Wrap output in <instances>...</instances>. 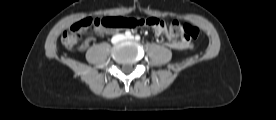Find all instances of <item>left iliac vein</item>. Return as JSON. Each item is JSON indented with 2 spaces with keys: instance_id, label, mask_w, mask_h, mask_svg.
<instances>
[{
  "instance_id": "obj_1",
  "label": "left iliac vein",
  "mask_w": 276,
  "mask_h": 120,
  "mask_svg": "<svg viewBox=\"0 0 276 120\" xmlns=\"http://www.w3.org/2000/svg\"><path fill=\"white\" fill-rule=\"evenodd\" d=\"M128 39H131V40H132V39H134V37H133V36H130Z\"/></svg>"
}]
</instances>
